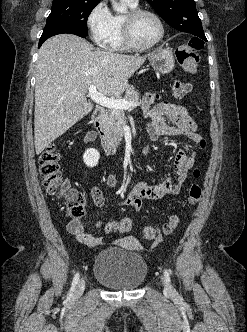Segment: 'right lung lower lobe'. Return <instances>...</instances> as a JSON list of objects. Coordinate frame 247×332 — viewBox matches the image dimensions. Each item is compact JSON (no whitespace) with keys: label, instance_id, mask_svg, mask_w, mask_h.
Wrapping results in <instances>:
<instances>
[{"label":"right lung lower lobe","instance_id":"98d812e1","mask_svg":"<svg viewBox=\"0 0 247 332\" xmlns=\"http://www.w3.org/2000/svg\"><path fill=\"white\" fill-rule=\"evenodd\" d=\"M63 33H70V34H75L80 37H86L87 34L76 30L75 28L69 26V25H64V24H57V25H49L45 26L43 33L41 35V38L39 40V47L42 45V43L57 34H63Z\"/></svg>","mask_w":247,"mask_h":332}]
</instances>
